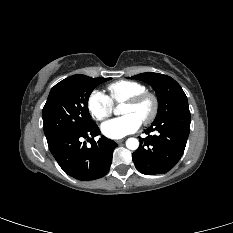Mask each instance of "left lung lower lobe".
Returning a JSON list of instances; mask_svg holds the SVG:
<instances>
[{"label": "left lung lower lobe", "instance_id": "0a47b994", "mask_svg": "<svg viewBox=\"0 0 233 233\" xmlns=\"http://www.w3.org/2000/svg\"><path fill=\"white\" fill-rule=\"evenodd\" d=\"M189 108H182L152 123L140 139V147L132 154L135 167L146 175L166 173L183 155L190 132ZM156 135H150L151 132Z\"/></svg>", "mask_w": 233, "mask_h": 233}]
</instances>
